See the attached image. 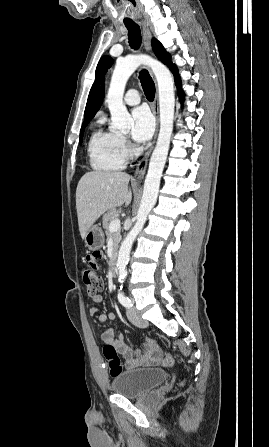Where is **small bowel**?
<instances>
[{
  "instance_id": "obj_1",
  "label": "small bowel",
  "mask_w": 269,
  "mask_h": 447,
  "mask_svg": "<svg viewBox=\"0 0 269 447\" xmlns=\"http://www.w3.org/2000/svg\"><path fill=\"white\" fill-rule=\"evenodd\" d=\"M102 298L100 296H95L92 299V307L90 309V314L95 315L98 310V305L101 303ZM116 315L113 312H103L98 316L100 322H105L108 320H114ZM104 342L112 344L116 349L122 354L125 359V366L127 369H135L138 367H147L154 365V360L158 359L159 362L162 361V352L159 349L156 341L152 339V333L146 332L145 338L149 339L143 347V350L133 348L128 346L124 342V336L119 333L114 337V330L108 329L104 331L101 335Z\"/></svg>"
}]
</instances>
